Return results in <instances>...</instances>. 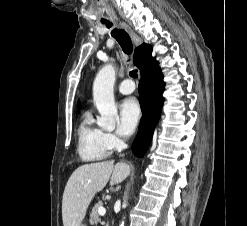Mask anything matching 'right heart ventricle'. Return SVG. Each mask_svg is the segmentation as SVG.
I'll list each match as a JSON object with an SVG mask.
<instances>
[{
  "label": "right heart ventricle",
  "instance_id": "obj_1",
  "mask_svg": "<svg viewBox=\"0 0 247 226\" xmlns=\"http://www.w3.org/2000/svg\"><path fill=\"white\" fill-rule=\"evenodd\" d=\"M110 147L104 137V131L98 127L88 112L78 127V154L85 162H94L106 158Z\"/></svg>",
  "mask_w": 247,
  "mask_h": 226
}]
</instances>
